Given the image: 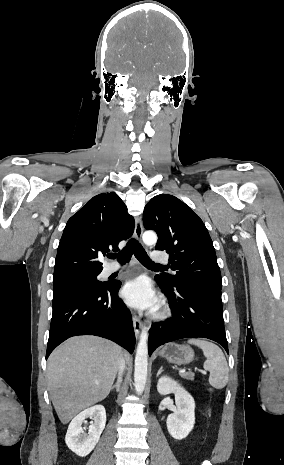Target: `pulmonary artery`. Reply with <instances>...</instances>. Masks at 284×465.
Returning a JSON list of instances; mask_svg holds the SVG:
<instances>
[{
	"label": "pulmonary artery",
	"mask_w": 284,
	"mask_h": 465,
	"mask_svg": "<svg viewBox=\"0 0 284 465\" xmlns=\"http://www.w3.org/2000/svg\"><path fill=\"white\" fill-rule=\"evenodd\" d=\"M170 257L168 254H164L162 250H153L151 253V261L153 263H168ZM121 269V266L114 264L105 268L104 272L107 274L114 273Z\"/></svg>",
	"instance_id": "1"
}]
</instances>
